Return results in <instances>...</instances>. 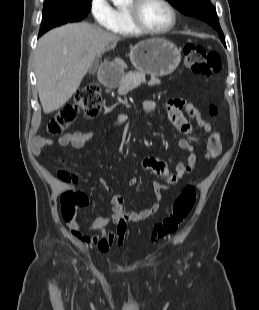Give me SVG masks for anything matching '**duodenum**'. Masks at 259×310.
I'll list each match as a JSON object with an SVG mask.
<instances>
[{"label": "duodenum", "instance_id": "obj_1", "mask_svg": "<svg viewBox=\"0 0 259 310\" xmlns=\"http://www.w3.org/2000/svg\"><path fill=\"white\" fill-rule=\"evenodd\" d=\"M98 77L105 87H115L122 78L121 73L110 66L102 67L98 72Z\"/></svg>", "mask_w": 259, "mask_h": 310}]
</instances>
